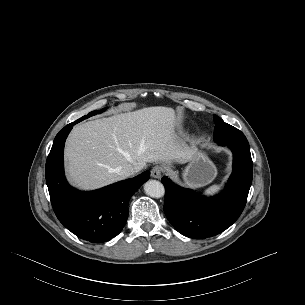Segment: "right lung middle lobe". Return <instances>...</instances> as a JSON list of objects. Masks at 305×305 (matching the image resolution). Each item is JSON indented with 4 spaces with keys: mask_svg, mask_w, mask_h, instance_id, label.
I'll list each match as a JSON object with an SVG mask.
<instances>
[{
    "mask_svg": "<svg viewBox=\"0 0 305 305\" xmlns=\"http://www.w3.org/2000/svg\"><path fill=\"white\" fill-rule=\"evenodd\" d=\"M105 110H106V108H103L102 110H99V111H92V112H90L88 115L83 116L82 119H86V118H88V117H90V116H93V115H95V114H99V113H101V112H103V111H105Z\"/></svg>",
    "mask_w": 305,
    "mask_h": 305,
    "instance_id": "1",
    "label": "right lung middle lobe"
}]
</instances>
